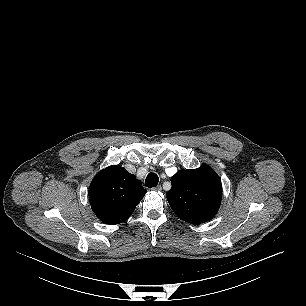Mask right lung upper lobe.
I'll return each mask as SVG.
<instances>
[{
    "label": "right lung upper lobe",
    "instance_id": "right-lung-upper-lobe-1",
    "mask_svg": "<svg viewBox=\"0 0 306 306\" xmlns=\"http://www.w3.org/2000/svg\"><path fill=\"white\" fill-rule=\"evenodd\" d=\"M146 190L136 176L118 165L99 172L89 187L93 212L106 224H119L133 213Z\"/></svg>",
    "mask_w": 306,
    "mask_h": 306
}]
</instances>
